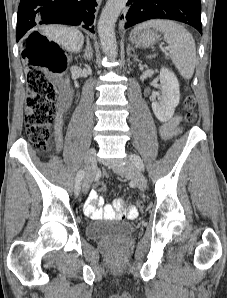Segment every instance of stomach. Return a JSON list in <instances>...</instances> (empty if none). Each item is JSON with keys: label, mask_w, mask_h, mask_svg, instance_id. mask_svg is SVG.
Instances as JSON below:
<instances>
[{"label": "stomach", "mask_w": 227, "mask_h": 298, "mask_svg": "<svg viewBox=\"0 0 227 298\" xmlns=\"http://www.w3.org/2000/svg\"><path fill=\"white\" fill-rule=\"evenodd\" d=\"M159 35L156 31L150 28L134 30L130 35V41L136 46L148 48L159 40Z\"/></svg>", "instance_id": "stomach-1"}]
</instances>
